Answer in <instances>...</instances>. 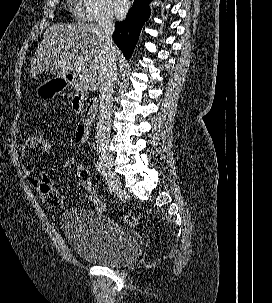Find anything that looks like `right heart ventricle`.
I'll return each mask as SVG.
<instances>
[{
  "label": "right heart ventricle",
  "instance_id": "1",
  "mask_svg": "<svg viewBox=\"0 0 272 303\" xmlns=\"http://www.w3.org/2000/svg\"><path fill=\"white\" fill-rule=\"evenodd\" d=\"M71 5L73 7V11L75 13V15L79 18L82 19L83 18V13L82 10L77 2V0H72Z\"/></svg>",
  "mask_w": 272,
  "mask_h": 303
}]
</instances>
